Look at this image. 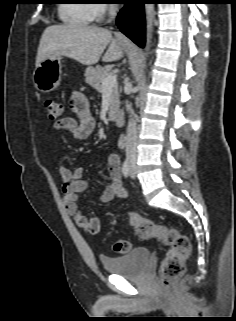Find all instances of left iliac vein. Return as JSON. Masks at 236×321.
<instances>
[{
  "instance_id": "obj_1",
  "label": "left iliac vein",
  "mask_w": 236,
  "mask_h": 321,
  "mask_svg": "<svg viewBox=\"0 0 236 321\" xmlns=\"http://www.w3.org/2000/svg\"><path fill=\"white\" fill-rule=\"evenodd\" d=\"M130 175L132 178L135 177V170H134V167L131 168V172H130Z\"/></svg>"
}]
</instances>
